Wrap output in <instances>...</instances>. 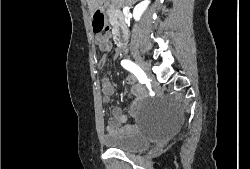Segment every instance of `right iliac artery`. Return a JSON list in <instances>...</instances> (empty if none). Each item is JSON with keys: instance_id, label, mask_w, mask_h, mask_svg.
Returning a JSON list of instances; mask_svg holds the SVG:
<instances>
[{"instance_id": "obj_1", "label": "right iliac artery", "mask_w": 250, "mask_h": 169, "mask_svg": "<svg viewBox=\"0 0 250 169\" xmlns=\"http://www.w3.org/2000/svg\"><path fill=\"white\" fill-rule=\"evenodd\" d=\"M121 65L129 70L130 72H132L136 77L137 79L139 80V82L141 84H144L147 82L148 78L146 76V74L144 73V71L139 67L137 66L135 63L129 61V60H122L121 61Z\"/></svg>"}]
</instances>
